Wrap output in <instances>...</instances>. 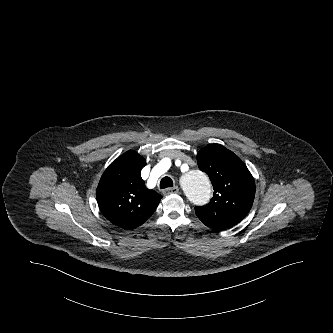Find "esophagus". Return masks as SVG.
I'll list each match as a JSON object with an SVG mask.
<instances>
[{
  "label": "esophagus",
  "mask_w": 333,
  "mask_h": 333,
  "mask_svg": "<svg viewBox=\"0 0 333 333\" xmlns=\"http://www.w3.org/2000/svg\"><path fill=\"white\" fill-rule=\"evenodd\" d=\"M179 192V188L177 186L167 188L163 191L164 195L176 194Z\"/></svg>",
  "instance_id": "esophagus-1"
}]
</instances>
